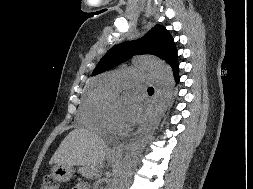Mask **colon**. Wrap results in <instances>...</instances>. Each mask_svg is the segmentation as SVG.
Returning a JSON list of instances; mask_svg holds the SVG:
<instances>
[{
	"label": "colon",
	"instance_id": "5ec220e1",
	"mask_svg": "<svg viewBox=\"0 0 253 189\" xmlns=\"http://www.w3.org/2000/svg\"><path fill=\"white\" fill-rule=\"evenodd\" d=\"M41 189H60V186L54 177L47 175L43 178Z\"/></svg>",
	"mask_w": 253,
	"mask_h": 189
}]
</instances>
